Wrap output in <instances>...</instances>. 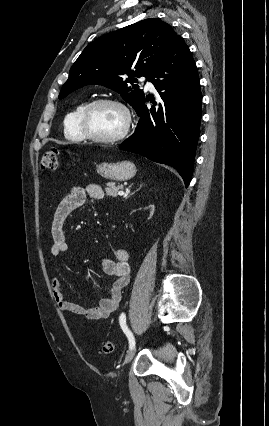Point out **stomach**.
Listing matches in <instances>:
<instances>
[{"mask_svg":"<svg viewBox=\"0 0 269 426\" xmlns=\"http://www.w3.org/2000/svg\"><path fill=\"white\" fill-rule=\"evenodd\" d=\"M136 166L131 161H119L115 163H101L97 165V172L102 177L115 181H125L136 174Z\"/></svg>","mask_w":269,"mask_h":426,"instance_id":"1","label":"stomach"}]
</instances>
